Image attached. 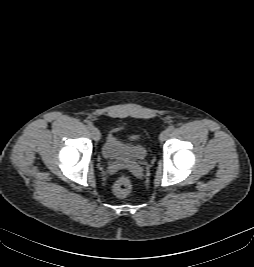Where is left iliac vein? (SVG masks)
Masks as SVG:
<instances>
[{
  "mask_svg": "<svg viewBox=\"0 0 254 267\" xmlns=\"http://www.w3.org/2000/svg\"><path fill=\"white\" fill-rule=\"evenodd\" d=\"M169 134H170V131L168 129L162 131L159 136L160 141L162 142L165 141L168 138Z\"/></svg>",
  "mask_w": 254,
  "mask_h": 267,
  "instance_id": "1",
  "label": "left iliac vein"
}]
</instances>
